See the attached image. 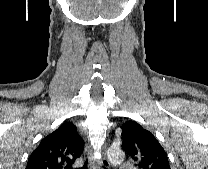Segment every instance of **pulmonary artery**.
<instances>
[{"label":"pulmonary artery","instance_id":"pulmonary-artery-1","mask_svg":"<svg viewBox=\"0 0 208 169\" xmlns=\"http://www.w3.org/2000/svg\"><path fill=\"white\" fill-rule=\"evenodd\" d=\"M119 169H131V167L127 164H121L119 165Z\"/></svg>","mask_w":208,"mask_h":169}]
</instances>
